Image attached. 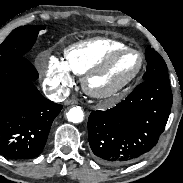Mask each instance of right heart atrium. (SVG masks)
Returning a JSON list of instances; mask_svg holds the SVG:
<instances>
[{
  "label": "right heart atrium",
  "instance_id": "d8ad5b80",
  "mask_svg": "<svg viewBox=\"0 0 183 183\" xmlns=\"http://www.w3.org/2000/svg\"><path fill=\"white\" fill-rule=\"evenodd\" d=\"M45 84L54 92L65 94L72 86V78L63 61L50 56L45 66H40Z\"/></svg>",
  "mask_w": 183,
  "mask_h": 183
}]
</instances>
